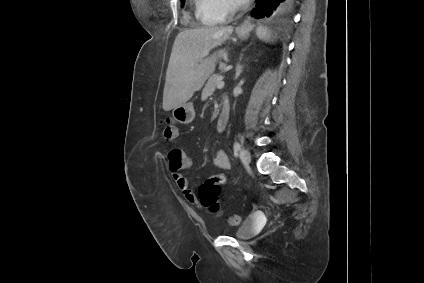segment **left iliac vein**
<instances>
[{
  "mask_svg": "<svg viewBox=\"0 0 424 283\" xmlns=\"http://www.w3.org/2000/svg\"><path fill=\"white\" fill-rule=\"evenodd\" d=\"M239 156H240V159H241L243 164L248 165L250 163L251 156H250L249 151L246 148H242L240 150Z\"/></svg>",
  "mask_w": 424,
  "mask_h": 283,
  "instance_id": "left-iliac-vein-1",
  "label": "left iliac vein"
}]
</instances>
